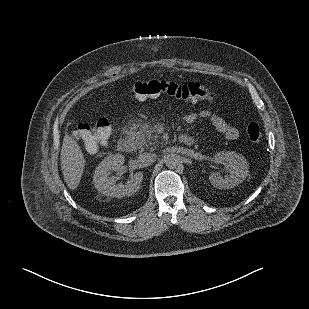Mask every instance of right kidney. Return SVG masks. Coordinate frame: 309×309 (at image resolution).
Here are the masks:
<instances>
[{"instance_id":"obj_1","label":"right kidney","mask_w":309,"mask_h":309,"mask_svg":"<svg viewBox=\"0 0 309 309\" xmlns=\"http://www.w3.org/2000/svg\"><path fill=\"white\" fill-rule=\"evenodd\" d=\"M124 163V156L120 153L110 155L104 159L96 168L93 183L95 188L106 196L121 198L134 195L140 188L143 173L136 172L128 179L125 185L116 182L118 177L111 175V171H119Z\"/></svg>"}]
</instances>
